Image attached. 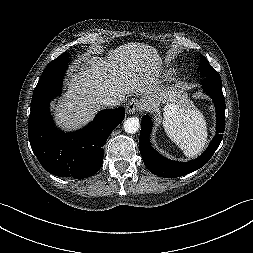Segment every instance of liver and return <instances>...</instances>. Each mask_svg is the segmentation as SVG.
<instances>
[{"label":"liver","mask_w":253,"mask_h":253,"mask_svg":"<svg viewBox=\"0 0 253 253\" xmlns=\"http://www.w3.org/2000/svg\"><path fill=\"white\" fill-rule=\"evenodd\" d=\"M159 64L156 49L143 43L121 45L110 50L105 60L88 55L73 69L65 97L55 107L56 124L68 130L81 127L101 109L100 98L113 97L122 102L129 93L168 98L171 103L165 112L183 107L184 99L179 95L159 92Z\"/></svg>","instance_id":"liver-1"}]
</instances>
